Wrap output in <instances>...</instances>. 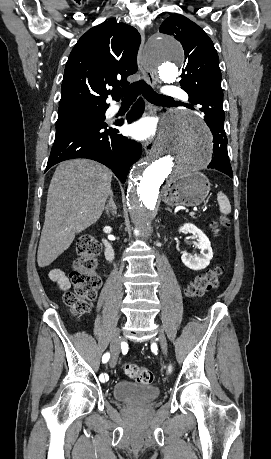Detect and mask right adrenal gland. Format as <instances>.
Segmentation results:
<instances>
[{
    "instance_id": "right-adrenal-gland-1",
    "label": "right adrenal gland",
    "mask_w": 271,
    "mask_h": 459,
    "mask_svg": "<svg viewBox=\"0 0 271 459\" xmlns=\"http://www.w3.org/2000/svg\"><path fill=\"white\" fill-rule=\"evenodd\" d=\"M110 198L105 206V210H106V214L107 216H109V214H112V216H114V214H116V206H115V202L113 200V194L111 192V194H109Z\"/></svg>"
}]
</instances>
